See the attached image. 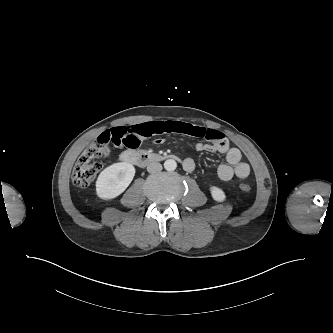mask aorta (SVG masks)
<instances>
[{
	"instance_id": "aorta-1",
	"label": "aorta",
	"mask_w": 333,
	"mask_h": 333,
	"mask_svg": "<svg viewBox=\"0 0 333 333\" xmlns=\"http://www.w3.org/2000/svg\"><path fill=\"white\" fill-rule=\"evenodd\" d=\"M164 168L167 171H174L177 168V163L174 159H167L164 162Z\"/></svg>"
}]
</instances>
